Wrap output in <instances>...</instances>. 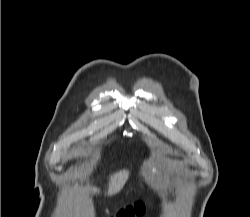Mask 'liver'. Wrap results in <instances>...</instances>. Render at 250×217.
<instances>
[{
  "mask_svg": "<svg viewBox=\"0 0 250 217\" xmlns=\"http://www.w3.org/2000/svg\"><path fill=\"white\" fill-rule=\"evenodd\" d=\"M129 176L128 170H122L110 177L108 186V196H113L121 191ZM94 193H99V189L94 188Z\"/></svg>",
  "mask_w": 250,
  "mask_h": 217,
  "instance_id": "6515ba94",
  "label": "liver"
}]
</instances>
